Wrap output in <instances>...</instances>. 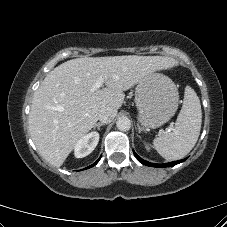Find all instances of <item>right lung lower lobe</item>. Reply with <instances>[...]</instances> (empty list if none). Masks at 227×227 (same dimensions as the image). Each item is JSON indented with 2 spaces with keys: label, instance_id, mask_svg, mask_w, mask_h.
<instances>
[{
  "label": "right lung lower lobe",
  "instance_id": "obj_1",
  "mask_svg": "<svg viewBox=\"0 0 227 227\" xmlns=\"http://www.w3.org/2000/svg\"><path fill=\"white\" fill-rule=\"evenodd\" d=\"M99 160H100V158L94 164H92L91 166H89L88 168L93 167L94 165H96Z\"/></svg>",
  "mask_w": 227,
  "mask_h": 227
}]
</instances>
